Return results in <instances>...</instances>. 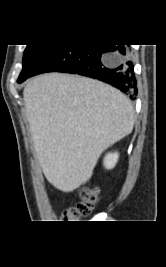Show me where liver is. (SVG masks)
Listing matches in <instances>:
<instances>
[{
	"instance_id": "obj_1",
	"label": "liver",
	"mask_w": 166,
	"mask_h": 267,
	"mask_svg": "<svg viewBox=\"0 0 166 267\" xmlns=\"http://www.w3.org/2000/svg\"><path fill=\"white\" fill-rule=\"evenodd\" d=\"M23 99L42 171L63 192L85 184L102 152L134 127L130 100L93 79L43 74L26 84Z\"/></svg>"
}]
</instances>
